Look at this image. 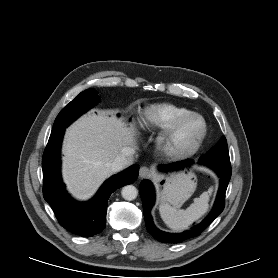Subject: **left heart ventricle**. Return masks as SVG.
Masks as SVG:
<instances>
[{
  "label": "left heart ventricle",
  "instance_id": "b2bd125f",
  "mask_svg": "<svg viewBox=\"0 0 278 278\" xmlns=\"http://www.w3.org/2000/svg\"><path fill=\"white\" fill-rule=\"evenodd\" d=\"M201 132V123L197 119L189 120L181 128L177 136V142L181 145L192 143Z\"/></svg>",
  "mask_w": 278,
  "mask_h": 278
}]
</instances>
